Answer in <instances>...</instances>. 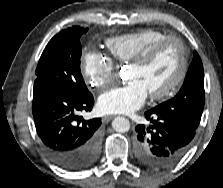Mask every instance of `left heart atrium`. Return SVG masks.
I'll list each match as a JSON object with an SVG mask.
<instances>
[{"instance_id": "1", "label": "left heart atrium", "mask_w": 223, "mask_h": 188, "mask_svg": "<svg viewBox=\"0 0 223 188\" xmlns=\"http://www.w3.org/2000/svg\"><path fill=\"white\" fill-rule=\"evenodd\" d=\"M147 96L145 87L139 81L131 80L101 94L97 107L104 114H129L139 109Z\"/></svg>"}]
</instances>
